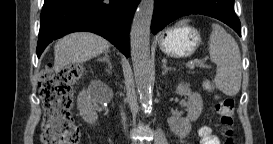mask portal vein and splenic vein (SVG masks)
Instances as JSON below:
<instances>
[{
    "instance_id": "18ae733b",
    "label": "portal vein and splenic vein",
    "mask_w": 273,
    "mask_h": 144,
    "mask_svg": "<svg viewBox=\"0 0 273 144\" xmlns=\"http://www.w3.org/2000/svg\"><path fill=\"white\" fill-rule=\"evenodd\" d=\"M196 65H200L201 67H208L206 64L204 63H197V62H191L189 64V68L193 69Z\"/></svg>"
}]
</instances>
